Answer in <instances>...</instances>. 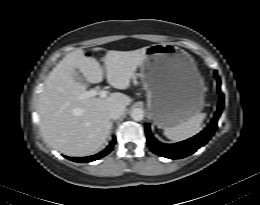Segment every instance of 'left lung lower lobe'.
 Segmentation results:
<instances>
[{
	"mask_svg": "<svg viewBox=\"0 0 260 205\" xmlns=\"http://www.w3.org/2000/svg\"><path fill=\"white\" fill-rule=\"evenodd\" d=\"M216 74V72H215ZM218 90H220L221 80L217 77ZM224 106V95L220 94V102L218 105L217 112L212 119L211 123L198 135L179 142L175 144H164L157 141L153 135L151 134L149 125H146V135H147V143L150 149L157 155L170 158V159H180L187 157L194 153L197 149L203 146L214 134L215 129L217 127L218 118L222 112Z\"/></svg>",
	"mask_w": 260,
	"mask_h": 205,
	"instance_id": "1",
	"label": "left lung lower lobe"
}]
</instances>
